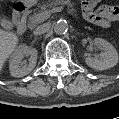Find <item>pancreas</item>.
<instances>
[{
    "instance_id": "obj_1",
    "label": "pancreas",
    "mask_w": 119,
    "mask_h": 119,
    "mask_svg": "<svg viewBox=\"0 0 119 119\" xmlns=\"http://www.w3.org/2000/svg\"><path fill=\"white\" fill-rule=\"evenodd\" d=\"M64 5L72 7V3L70 2V0H52L49 3L42 5L40 7L39 11L33 13L30 16V18H29L30 24L32 26H34V25H37L38 23L42 22V21H38L36 19L38 14H40L42 12H46V11L51 12L56 6H64Z\"/></svg>"
}]
</instances>
